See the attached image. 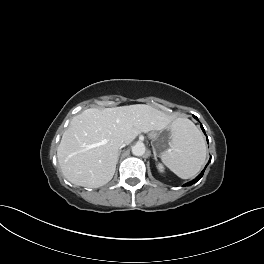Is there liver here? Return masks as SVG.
I'll list each match as a JSON object with an SVG mask.
<instances>
[{"mask_svg": "<svg viewBox=\"0 0 264 264\" xmlns=\"http://www.w3.org/2000/svg\"><path fill=\"white\" fill-rule=\"evenodd\" d=\"M172 121L145 104L86 109L73 117L62 136L57 149L61 171L73 184L103 186L115 173L120 141L128 145L139 134L163 130Z\"/></svg>", "mask_w": 264, "mask_h": 264, "instance_id": "obj_1", "label": "liver"}]
</instances>
